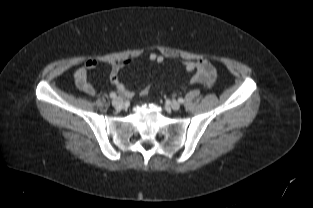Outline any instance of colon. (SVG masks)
<instances>
[{
	"mask_svg": "<svg viewBox=\"0 0 313 208\" xmlns=\"http://www.w3.org/2000/svg\"><path fill=\"white\" fill-rule=\"evenodd\" d=\"M214 84V79L210 80L208 83H207V86L208 87H212ZM141 95H147L149 93V87H145L141 90Z\"/></svg>",
	"mask_w": 313,
	"mask_h": 208,
	"instance_id": "1",
	"label": "colon"
}]
</instances>
